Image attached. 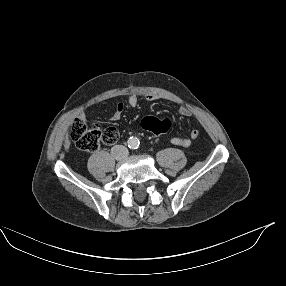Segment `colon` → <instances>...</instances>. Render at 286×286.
<instances>
[{
	"mask_svg": "<svg viewBox=\"0 0 286 286\" xmlns=\"http://www.w3.org/2000/svg\"><path fill=\"white\" fill-rule=\"evenodd\" d=\"M171 126L170 119L157 113H147L140 120L141 129L147 134L156 136H169ZM69 137L79 149L92 152L97 150L101 143L115 144L119 139V131L115 127L100 131L88 127L81 119H76L70 128Z\"/></svg>",
	"mask_w": 286,
	"mask_h": 286,
	"instance_id": "5ec220e1",
	"label": "colon"
}]
</instances>
